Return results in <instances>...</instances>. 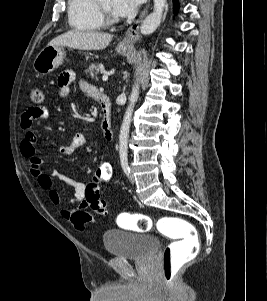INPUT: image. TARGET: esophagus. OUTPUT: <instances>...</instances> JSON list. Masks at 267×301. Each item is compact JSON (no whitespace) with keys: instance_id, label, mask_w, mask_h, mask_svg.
<instances>
[{"instance_id":"esophagus-1","label":"esophagus","mask_w":267,"mask_h":301,"mask_svg":"<svg viewBox=\"0 0 267 301\" xmlns=\"http://www.w3.org/2000/svg\"><path fill=\"white\" fill-rule=\"evenodd\" d=\"M148 6L149 3L147 4L146 8L142 11L137 21L127 30L125 37L119 43L120 46L130 47L139 39L140 37L139 27L145 15L147 14Z\"/></svg>"}]
</instances>
